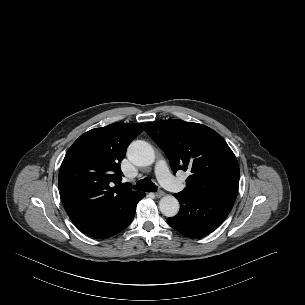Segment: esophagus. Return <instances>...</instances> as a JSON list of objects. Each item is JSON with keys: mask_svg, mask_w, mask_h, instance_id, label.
<instances>
[{"mask_svg": "<svg viewBox=\"0 0 305 305\" xmlns=\"http://www.w3.org/2000/svg\"><path fill=\"white\" fill-rule=\"evenodd\" d=\"M164 192L163 191H158V192H156L155 193V196L157 197V198H160V197H162V196H164Z\"/></svg>", "mask_w": 305, "mask_h": 305, "instance_id": "esophagus-1", "label": "esophagus"}]
</instances>
